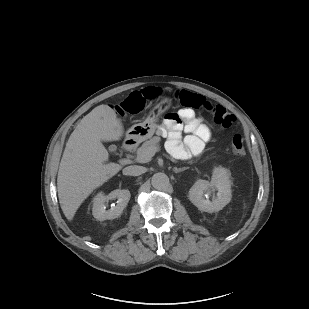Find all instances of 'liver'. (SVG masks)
Returning <instances> with one entry per match:
<instances>
[{
  "label": "liver",
  "instance_id": "1",
  "mask_svg": "<svg viewBox=\"0 0 309 309\" xmlns=\"http://www.w3.org/2000/svg\"><path fill=\"white\" fill-rule=\"evenodd\" d=\"M124 127L115 111L99 105L88 113L70 135L60 162L57 191L61 209L72 220L83 201L116 175L122 166L105 163L109 154L102 141H118Z\"/></svg>",
  "mask_w": 309,
  "mask_h": 309
}]
</instances>
